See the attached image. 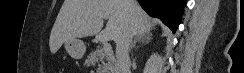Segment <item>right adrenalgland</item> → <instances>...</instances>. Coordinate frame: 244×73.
I'll return each mask as SVG.
<instances>
[{"mask_svg": "<svg viewBox=\"0 0 244 73\" xmlns=\"http://www.w3.org/2000/svg\"><path fill=\"white\" fill-rule=\"evenodd\" d=\"M152 35L151 34H144V35H137L133 39L131 45H130V50L133 49L136 45V43H142V44H147L151 41Z\"/></svg>", "mask_w": 244, "mask_h": 73, "instance_id": "2a0ac1e0", "label": "right adrenal gland"}]
</instances>
